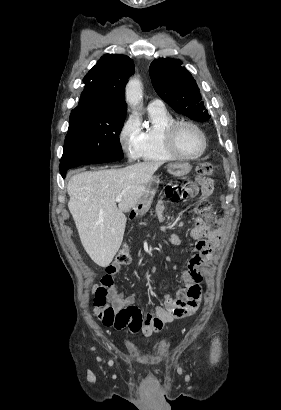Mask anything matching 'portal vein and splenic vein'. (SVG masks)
<instances>
[{
	"mask_svg": "<svg viewBox=\"0 0 281 410\" xmlns=\"http://www.w3.org/2000/svg\"><path fill=\"white\" fill-rule=\"evenodd\" d=\"M122 200V196H117L116 198H115V201L116 202H120Z\"/></svg>",
	"mask_w": 281,
	"mask_h": 410,
	"instance_id": "1",
	"label": "portal vein and splenic vein"
}]
</instances>
